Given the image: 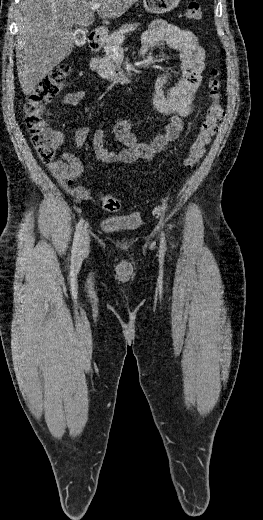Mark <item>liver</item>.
<instances>
[{
  "mask_svg": "<svg viewBox=\"0 0 263 520\" xmlns=\"http://www.w3.org/2000/svg\"><path fill=\"white\" fill-rule=\"evenodd\" d=\"M138 0H22L16 40L18 79L25 95L74 48L73 25L93 24V5L102 19L121 17Z\"/></svg>",
  "mask_w": 263,
  "mask_h": 520,
  "instance_id": "1",
  "label": "liver"
}]
</instances>
